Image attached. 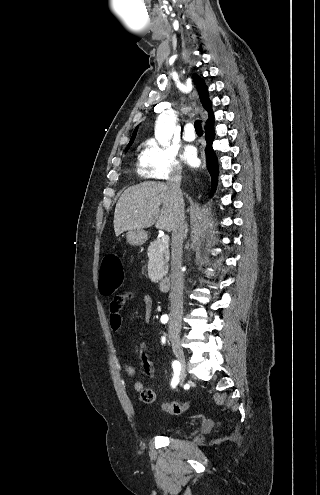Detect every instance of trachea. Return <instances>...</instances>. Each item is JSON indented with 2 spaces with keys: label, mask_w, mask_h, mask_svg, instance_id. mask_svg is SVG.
Returning <instances> with one entry per match:
<instances>
[{
  "label": "trachea",
  "mask_w": 320,
  "mask_h": 495,
  "mask_svg": "<svg viewBox=\"0 0 320 495\" xmlns=\"http://www.w3.org/2000/svg\"><path fill=\"white\" fill-rule=\"evenodd\" d=\"M194 127H195V130H196L197 134H203L201 120H196L195 121V124H194Z\"/></svg>",
  "instance_id": "trachea-1"
}]
</instances>
